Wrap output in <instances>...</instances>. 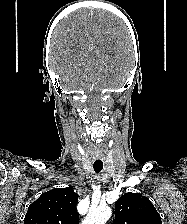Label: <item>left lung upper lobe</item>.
<instances>
[{
  "label": "left lung upper lobe",
  "mask_w": 187,
  "mask_h": 224,
  "mask_svg": "<svg viewBox=\"0 0 187 224\" xmlns=\"http://www.w3.org/2000/svg\"><path fill=\"white\" fill-rule=\"evenodd\" d=\"M113 224H162L151 201L139 193H126L115 203Z\"/></svg>",
  "instance_id": "obj_1"
}]
</instances>
